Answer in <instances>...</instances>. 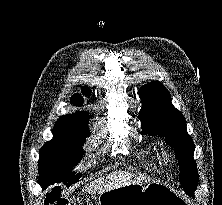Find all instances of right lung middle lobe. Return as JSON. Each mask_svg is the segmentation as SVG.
<instances>
[{"label":"right lung middle lobe","instance_id":"1","mask_svg":"<svg viewBox=\"0 0 222 205\" xmlns=\"http://www.w3.org/2000/svg\"><path fill=\"white\" fill-rule=\"evenodd\" d=\"M53 134V139L39 152V184L78 182L82 174H74L72 170L84 154L82 146L90 135L88 123L55 124Z\"/></svg>","mask_w":222,"mask_h":205}]
</instances>
